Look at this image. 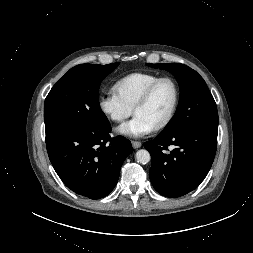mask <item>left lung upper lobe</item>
<instances>
[{
	"mask_svg": "<svg viewBox=\"0 0 253 253\" xmlns=\"http://www.w3.org/2000/svg\"><path fill=\"white\" fill-rule=\"evenodd\" d=\"M147 66L169 71L180 85L179 106L161 136L174 135L191 128L218 130L216 103L204 79L196 71L179 63H147Z\"/></svg>",
	"mask_w": 253,
	"mask_h": 253,
	"instance_id": "1",
	"label": "left lung upper lobe"
}]
</instances>
